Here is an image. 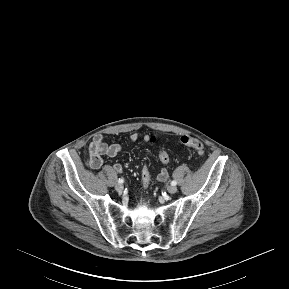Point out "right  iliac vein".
<instances>
[{
  "label": "right iliac vein",
  "instance_id": "obj_1",
  "mask_svg": "<svg viewBox=\"0 0 289 289\" xmlns=\"http://www.w3.org/2000/svg\"><path fill=\"white\" fill-rule=\"evenodd\" d=\"M123 185L122 184H116L115 189L117 192L121 193L123 191Z\"/></svg>",
  "mask_w": 289,
  "mask_h": 289
}]
</instances>
